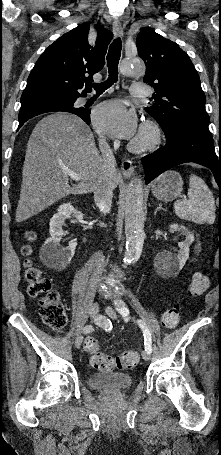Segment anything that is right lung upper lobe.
Wrapping results in <instances>:
<instances>
[{
    "instance_id": "obj_1",
    "label": "right lung upper lobe",
    "mask_w": 221,
    "mask_h": 455,
    "mask_svg": "<svg viewBox=\"0 0 221 455\" xmlns=\"http://www.w3.org/2000/svg\"><path fill=\"white\" fill-rule=\"evenodd\" d=\"M90 25L85 23L65 33L37 60L21 97V112L53 106L61 101L85 96L91 89L93 74L105 62L113 34L96 25V45L88 44Z\"/></svg>"
}]
</instances>
